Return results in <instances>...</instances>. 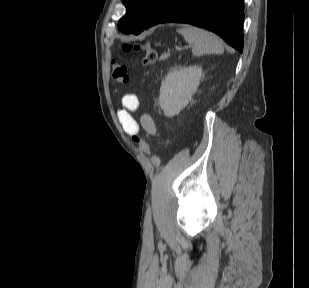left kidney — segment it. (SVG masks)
Instances as JSON below:
<instances>
[{
	"instance_id": "left-kidney-1",
	"label": "left kidney",
	"mask_w": 309,
	"mask_h": 288,
	"mask_svg": "<svg viewBox=\"0 0 309 288\" xmlns=\"http://www.w3.org/2000/svg\"><path fill=\"white\" fill-rule=\"evenodd\" d=\"M202 77V68L190 66L171 70L160 87L159 104L167 117L178 115L191 101Z\"/></svg>"
}]
</instances>
